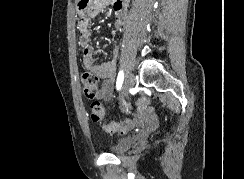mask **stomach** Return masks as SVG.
<instances>
[{"instance_id": "obj_1", "label": "stomach", "mask_w": 244, "mask_h": 179, "mask_svg": "<svg viewBox=\"0 0 244 179\" xmlns=\"http://www.w3.org/2000/svg\"><path fill=\"white\" fill-rule=\"evenodd\" d=\"M90 0H76V8H81L78 9V14H85V9L87 4H89ZM81 16V15H80Z\"/></svg>"}]
</instances>
